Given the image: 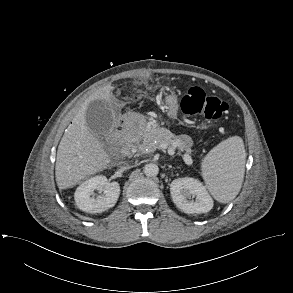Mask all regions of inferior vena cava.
I'll return each instance as SVG.
<instances>
[{
	"instance_id": "inferior-vena-cava-1",
	"label": "inferior vena cava",
	"mask_w": 293,
	"mask_h": 293,
	"mask_svg": "<svg viewBox=\"0 0 293 293\" xmlns=\"http://www.w3.org/2000/svg\"><path fill=\"white\" fill-rule=\"evenodd\" d=\"M129 168H130L129 165H124V166L121 167V170L124 171V170H127V169H129Z\"/></svg>"
}]
</instances>
